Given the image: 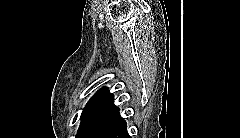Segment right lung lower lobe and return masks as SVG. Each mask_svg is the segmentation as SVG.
<instances>
[{
    "label": "right lung lower lobe",
    "mask_w": 240,
    "mask_h": 138,
    "mask_svg": "<svg viewBox=\"0 0 240 138\" xmlns=\"http://www.w3.org/2000/svg\"><path fill=\"white\" fill-rule=\"evenodd\" d=\"M87 138H131L127 132L125 120L119 112L109 116L93 129Z\"/></svg>",
    "instance_id": "98d812e1"
}]
</instances>
